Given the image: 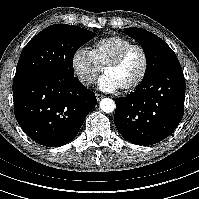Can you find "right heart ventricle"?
Returning <instances> with one entry per match:
<instances>
[{
    "instance_id": "1",
    "label": "right heart ventricle",
    "mask_w": 199,
    "mask_h": 199,
    "mask_svg": "<svg viewBox=\"0 0 199 199\" xmlns=\"http://www.w3.org/2000/svg\"><path fill=\"white\" fill-rule=\"evenodd\" d=\"M133 42L125 37L112 35L96 41L91 55L99 68L104 67L121 49Z\"/></svg>"
}]
</instances>
